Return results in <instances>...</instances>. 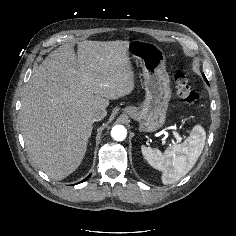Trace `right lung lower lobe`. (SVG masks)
<instances>
[{
  "instance_id": "obj_1",
  "label": "right lung lower lobe",
  "mask_w": 236,
  "mask_h": 236,
  "mask_svg": "<svg viewBox=\"0 0 236 236\" xmlns=\"http://www.w3.org/2000/svg\"><path fill=\"white\" fill-rule=\"evenodd\" d=\"M88 178H89V176H88L85 180H87ZM85 180H84V181H85Z\"/></svg>"
}]
</instances>
